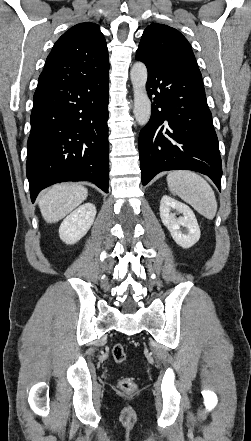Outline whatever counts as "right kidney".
Returning a JSON list of instances; mask_svg holds the SVG:
<instances>
[{
  "label": "right kidney",
  "instance_id": "1",
  "mask_svg": "<svg viewBox=\"0 0 251 441\" xmlns=\"http://www.w3.org/2000/svg\"><path fill=\"white\" fill-rule=\"evenodd\" d=\"M96 216V207L92 203L79 206L71 212L61 223L59 228L60 239L66 244H75L90 229Z\"/></svg>",
  "mask_w": 251,
  "mask_h": 441
}]
</instances>
